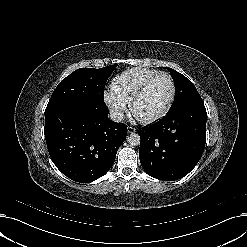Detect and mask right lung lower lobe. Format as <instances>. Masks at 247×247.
I'll list each match as a JSON object with an SVG mask.
<instances>
[{"label":"right lung lower lobe","mask_w":247,"mask_h":247,"mask_svg":"<svg viewBox=\"0 0 247 247\" xmlns=\"http://www.w3.org/2000/svg\"><path fill=\"white\" fill-rule=\"evenodd\" d=\"M101 101H66L47 106L45 140L55 166L68 178L90 183L113 166L127 126L108 118Z\"/></svg>","instance_id":"98d812e1"}]
</instances>
